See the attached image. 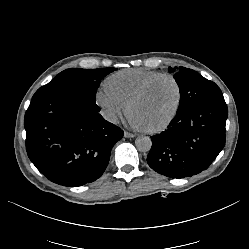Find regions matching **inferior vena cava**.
Segmentation results:
<instances>
[{
  "label": "inferior vena cava",
  "mask_w": 249,
  "mask_h": 249,
  "mask_svg": "<svg viewBox=\"0 0 249 249\" xmlns=\"http://www.w3.org/2000/svg\"><path fill=\"white\" fill-rule=\"evenodd\" d=\"M102 116L104 117L105 120H107L110 123L117 124L118 123V118L115 114L110 113V112H102Z\"/></svg>",
  "instance_id": "inferior-vena-cava-1"
}]
</instances>
